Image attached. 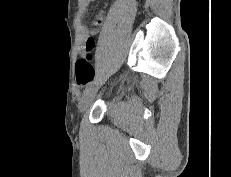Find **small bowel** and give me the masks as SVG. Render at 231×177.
Here are the masks:
<instances>
[{"instance_id":"small-bowel-1","label":"small bowel","mask_w":231,"mask_h":177,"mask_svg":"<svg viewBox=\"0 0 231 177\" xmlns=\"http://www.w3.org/2000/svg\"><path fill=\"white\" fill-rule=\"evenodd\" d=\"M87 1V3L89 4L91 1H93V0H86ZM102 23H103V16L102 15H99L97 18H96V20H95V25L96 26H101L102 25ZM82 31H83V35H84V37L86 38V40H87V42H88V40L90 39L89 38V32H88V30L86 29V28H82ZM87 42H86V45L85 46H82V47H80V52L81 53H83V54H85V55H90V47H88V44H87Z\"/></svg>"}]
</instances>
